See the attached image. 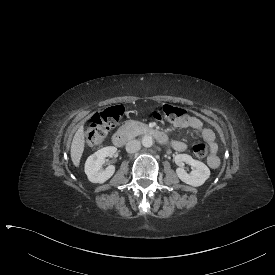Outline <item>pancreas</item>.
I'll list each match as a JSON object with an SVG mask.
<instances>
[{
    "label": "pancreas",
    "mask_w": 275,
    "mask_h": 275,
    "mask_svg": "<svg viewBox=\"0 0 275 275\" xmlns=\"http://www.w3.org/2000/svg\"><path fill=\"white\" fill-rule=\"evenodd\" d=\"M148 128L149 127L146 124L132 120L130 122H126L117 130V132H122L128 137V139H133L136 136L147 132Z\"/></svg>",
    "instance_id": "cf45deb5"
}]
</instances>
